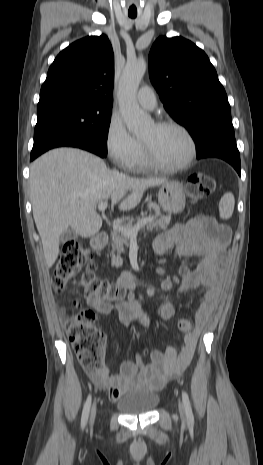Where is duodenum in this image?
I'll list each match as a JSON object with an SVG mask.
<instances>
[{
	"mask_svg": "<svg viewBox=\"0 0 263 465\" xmlns=\"http://www.w3.org/2000/svg\"><path fill=\"white\" fill-rule=\"evenodd\" d=\"M108 243V236L106 234H99L92 240V247L95 250H102Z\"/></svg>",
	"mask_w": 263,
	"mask_h": 465,
	"instance_id": "1",
	"label": "duodenum"
}]
</instances>
